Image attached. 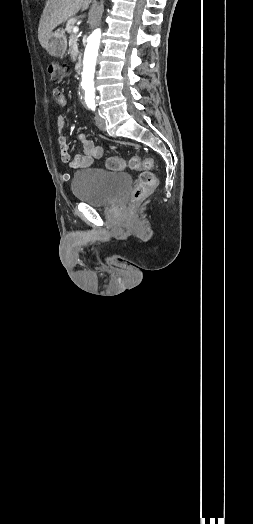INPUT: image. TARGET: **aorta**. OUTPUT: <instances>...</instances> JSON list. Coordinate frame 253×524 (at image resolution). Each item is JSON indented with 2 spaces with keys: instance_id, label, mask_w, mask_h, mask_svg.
<instances>
[{
  "instance_id": "obj_1",
  "label": "aorta",
  "mask_w": 253,
  "mask_h": 524,
  "mask_svg": "<svg viewBox=\"0 0 253 524\" xmlns=\"http://www.w3.org/2000/svg\"><path fill=\"white\" fill-rule=\"evenodd\" d=\"M101 31L94 30L87 40V46L84 53L83 72L81 86L85 91V100L92 101L95 96L94 89V72L98 49L100 45Z\"/></svg>"
}]
</instances>
